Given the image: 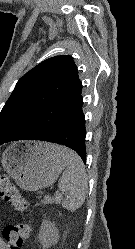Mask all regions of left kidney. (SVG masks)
I'll list each match as a JSON object with an SVG mask.
<instances>
[{"label":"left kidney","mask_w":135,"mask_h":249,"mask_svg":"<svg viewBox=\"0 0 135 249\" xmlns=\"http://www.w3.org/2000/svg\"><path fill=\"white\" fill-rule=\"evenodd\" d=\"M59 237V230L55 224L50 220H43L38 234V239L43 249H48L57 244Z\"/></svg>","instance_id":"left-kidney-1"}]
</instances>
